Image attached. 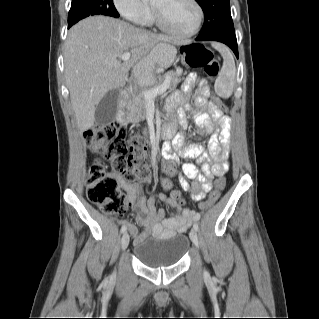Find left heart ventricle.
<instances>
[{
    "label": "left heart ventricle",
    "instance_id": "1",
    "mask_svg": "<svg viewBox=\"0 0 319 319\" xmlns=\"http://www.w3.org/2000/svg\"><path fill=\"white\" fill-rule=\"evenodd\" d=\"M152 6L162 14L166 24L179 32L191 30L197 12L189 0H153Z\"/></svg>",
    "mask_w": 319,
    "mask_h": 319
}]
</instances>
